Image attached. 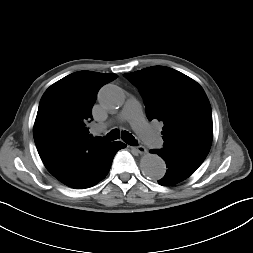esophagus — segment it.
I'll use <instances>...</instances> for the list:
<instances>
[{
	"label": "esophagus",
	"mask_w": 253,
	"mask_h": 253,
	"mask_svg": "<svg viewBox=\"0 0 253 253\" xmlns=\"http://www.w3.org/2000/svg\"><path fill=\"white\" fill-rule=\"evenodd\" d=\"M133 150H135L137 153L139 154H144L146 153V148L142 145L136 146V147H132Z\"/></svg>",
	"instance_id": "1"
}]
</instances>
